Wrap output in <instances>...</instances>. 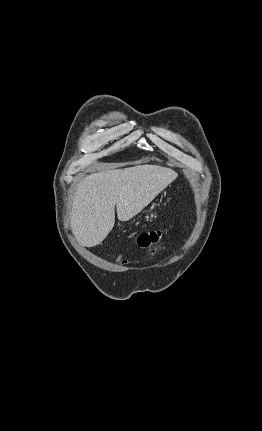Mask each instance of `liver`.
<instances>
[{"instance_id": "liver-1", "label": "liver", "mask_w": 262, "mask_h": 431, "mask_svg": "<svg viewBox=\"0 0 262 431\" xmlns=\"http://www.w3.org/2000/svg\"><path fill=\"white\" fill-rule=\"evenodd\" d=\"M178 174L158 165H137L91 174L78 185L71 225L77 241L87 247L100 244L115 223L140 213Z\"/></svg>"}]
</instances>
